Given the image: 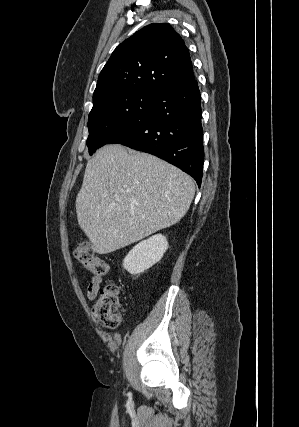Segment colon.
Instances as JSON below:
<instances>
[{"instance_id":"colon-1","label":"colon","mask_w":299,"mask_h":427,"mask_svg":"<svg viewBox=\"0 0 299 427\" xmlns=\"http://www.w3.org/2000/svg\"><path fill=\"white\" fill-rule=\"evenodd\" d=\"M74 257L81 266L96 276H102L108 272V264L96 256L85 242L75 246ZM120 310L118 287L114 284L106 285L93 305L92 312L95 320L106 329H114L120 323Z\"/></svg>"}]
</instances>
